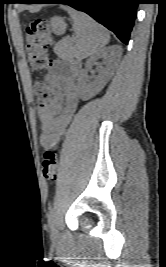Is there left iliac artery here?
<instances>
[{"label":"left iliac artery","mask_w":166,"mask_h":267,"mask_svg":"<svg viewBox=\"0 0 166 267\" xmlns=\"http://www.w3.org/2000/svg\"><path fill=\"white\" fill-rule=\"evenodd\" d=\"M55 209H50L48 214V223L50 226H52L55 222Z\"/></svg>","instance_id":"44dca946"}]
</instances>
